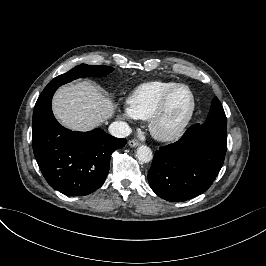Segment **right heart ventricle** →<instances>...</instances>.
<instances>
[{"label": "right heart ventricle", "mask_w": 266, "mask_h": 266, "mask_svg": "<svg viewBox=\"0 0 266 266\" xmlns=\"http://www.w3.org/2000/svg\"><path fill=\"white\" fill-rule=\"evenodd\" d=\"M180 82L173 80H152L137 86L129 97V108L133 116L147 120L162 96Z\"/></svg>", "instance_id": "e07e8e85"}]
</instances>
